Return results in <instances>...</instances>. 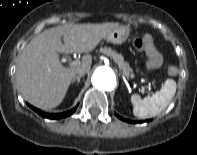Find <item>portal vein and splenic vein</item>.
<instances>
[{
	"label": "portal vein and splenic vein",
	"instance_id": "portal-vein-and-splenic-vein-1",
	"mask_svg": "<svg viewBox=\"0 0 197 155\" xmlns=\"http://www.w3.org/2000/svg\"><path fill=\"white\" fill-rule=\"evenodd\" d=\"M80 63V61H73L70 63V66H76Z\"/></svg>",
	"mask_w": 197,
	"mask_h": 155
}]
</instances>
